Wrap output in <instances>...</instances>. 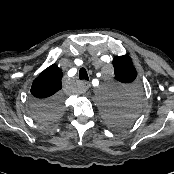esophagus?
<instances>
[{
	"mask_svg": "<svg viewBox=\"0 0 174 174\" xmlns=\"http://www.w3.org/2000/svg\"><path fill=\"white\" fill-rule=\"evenodd\" d=\"M89 87H90V82H88V81H83L82 83H81V89L85 92V91H87L88 89H89Z\"/></svg>",
	"mask_w": 174,
	"mask_h": 174,
	"instance_id": "obj_1",
	"label": "esophagus"
}]
</instances>
